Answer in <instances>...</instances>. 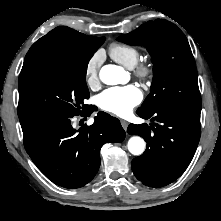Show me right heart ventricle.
Returning a JSON list of instances; mask_svg holds the SVG:
<instances>
[{
	"label": "right heart ventricle",
	"mask_w": 221,
	"mask_h": 221,
	"mask_svg": "<svg viewBox=\"0 0 221 221\" xmlns=\"http://www.w3.org/2000/svg\"><path fill=\"white\" fill-rule=\"evenodd\" d=\"M109 55L114 61L127 68H133L140 57L136 47L123 43H112L109 46Z\"/></svg>",
	"instance_id": "e07e8e85"
}]
</instances>
